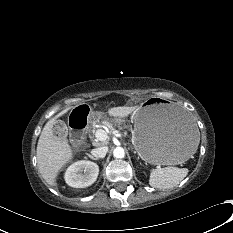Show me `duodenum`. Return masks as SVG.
I'll return each mask as SVG.
<instances>
[{
    "label": "duodenum",
    "mask_w": 233,
    "mask_h": 233,
    "mask_svg": "<svg viewBox=\"0 0 233 233\" xmlns=\"http://www.w3.org/2000/svg\"><path fill=\"white\" fill-rule=\"evenodd\" d=\"M91 114L90 107L85 103L78 104L73 114L70 117V129L73 134V138L76 141L82 142L87 132V124L89 122V116Z\"/></svg>",
    "instance_id": "410a0bca"
}]
</instances>
